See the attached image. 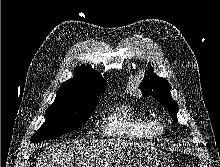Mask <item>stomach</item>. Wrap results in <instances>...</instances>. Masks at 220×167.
Returning a JSON list of instances; mask_svg holds the SVG:
<instances>
[{"mask_svg":"<svg viewBox=\"0 0 220 167\" xmlns=\"http://www.w3.org/2000/svg\"><path fill=\"white\" fill-rule=\"evenodd\" d=\"M114 167H174L172 161L152 144L125 147Z\"/></svg>","mask_w":220,"mask_h":167,"instance_id":"obj_1","label":"stomach"}]
</instances>
